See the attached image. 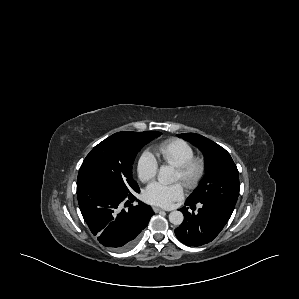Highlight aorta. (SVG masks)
I'll return each mask as SVG.
<instances>
[{"mask_svg": "<svg viewBox=\"0 0 299 299\" xmlns=\"http://www.w3.org/2000/svg\"><path fill=\"white\" fill-rule=\"evenodd\" d=\"M175 180V172L171 166H161L158 172V181L162 184H168ZM184 220L183 213L180 211H172L169 214V221L174 225L182 224Z\"/></svg>", "mask_w": 299, "mask_h": 299, "instance_id": "obj_1", "label": "aorta"}]
</instances>
